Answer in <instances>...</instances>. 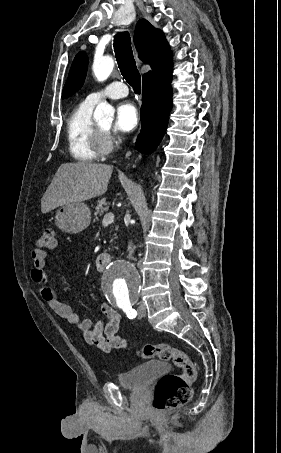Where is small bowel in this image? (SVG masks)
<instances>
[{
	"label": "small bowel",
	"instance_id": "1",
	"mask_svg": "<svg viewBox=\"0 0 281 453\" xmlns=\"http://www.w3.org/2000/svg\"><path fill=\"white\" fill-rule=\"evenodd\" d=\"M33 266L30 271L31 280L37 285L42 299L49 307L66 321L72 323L82 332L85 341L103 351L118 349L125 352L127 340L117 335L120 324V314L108 303L101 307L106 316V320L92 323L81 318L72 310L71 307L63 304L58 296L47 286L48 276L46 272L47 257L42 250H35L31 253Z\"/></svg>",
	"mask_w": 281,
	"mask_h": 453
}]
</instances>
